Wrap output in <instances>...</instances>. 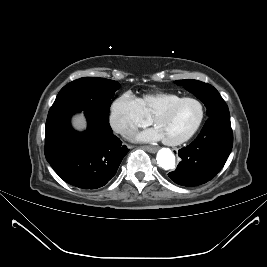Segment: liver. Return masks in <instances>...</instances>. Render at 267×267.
I'll return each mask as SVG.
<instances>
[{
	"instance_id": "liver-1",
	"label": "liver",
	"mask_w": 267,
	"mask_h": 267,
	"mask_svg": "<svg viewBox=\"0 0 267 267\" xmlns=\"http://www.w3.org/2000/svg\"><path fill=\"white\" fill-rule=\"evenodd\" d=\"M72 125L78 131H83L86 129L87 122H86V119H85L83 113L76 114L72 118Z\"/></svg>"
}]
</instances>
